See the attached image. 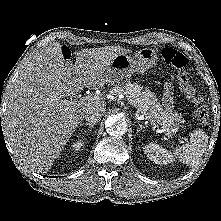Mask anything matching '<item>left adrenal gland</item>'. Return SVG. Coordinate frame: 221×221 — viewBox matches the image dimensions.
I'll return each mask as SVG.
<instances>
[{
  "label": "left adrenal gland",
  "mask_w": 221,
  "mask_h": 221,
  "mask_svg": "<svg viewBox=\"0 0 221 221\" xmlns=\"http://www.w3.org/2000/svg\"><path fill=\"white\" fill-rule=\"evenodd\" d=\"M137 133H139L140 131H142V129H144V125L140 124V121H137Z\"/></svg>",
  "instance_id": "left-adrenal-gland-1"
}]
</instances>
